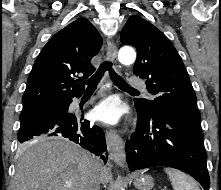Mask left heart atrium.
Segmentation results:
<instances>
[{
	"label": "left heart atrium",
	"instance_id": "39dd6f15",
	"mask_svg": "<svg viewBox=\"0 0 221 190\" xmlns=\"http://www.w3.org/2000/svg\"><path fill=\"white\" fill-rule=\"evenodd\" d=\"M93 115L98 121L114 124L120 117L119 103L115 99H106L94 108Z\"/></svg>",
	"mask_w": 221,
	"mask_h": 190
}]
</instances>
